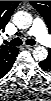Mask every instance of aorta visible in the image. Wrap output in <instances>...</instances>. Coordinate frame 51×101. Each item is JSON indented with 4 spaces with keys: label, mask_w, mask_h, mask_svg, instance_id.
<instances>
[{
    "label": "aorta",
    "mask_w": 51,
    "mask_h": 101,
    "mask_svg": "<svg viewBox=\"0 0 51 101\" xmlns=\"http://www.w3.org/2000/svg\"><path fill=\"white\" fill-rule=\"evenodd\" d=\"M13 21L19 29H27L31 26L33 20L29 13L19 11L15 13ZM47 55V50L42 46L35 48L33 51V56L35 57V59L40 61L44 60L47 57Z\"/></svg>",
    "instance_id": "1"
}]
</instances>
